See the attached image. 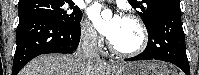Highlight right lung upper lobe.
Here are the masks:
<instances>
[{"mask_svg":"<svg viewBox=\"0 0 199 75\" xmlns=\"http://www.w3.org/2000/svg\"><path fill=\"white\" fill-rule=\"evenodd\" d=\"M22 1H24V0H19V2H22Z\"/></svg>","mask_w":199,"mask_h":75,"instance_id":"1","label":"right lung upper lobe"}]
</instances>
